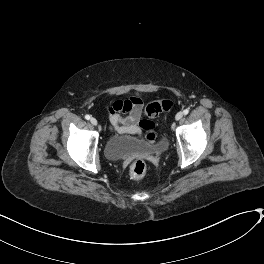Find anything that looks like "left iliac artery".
I'll return each mask as SVG.
<instances>
[{"instance_id":"44dca946","label":"left iliac artery","mask_w":264,"mask_h":264,"mask_svg":"<svg viewBox=\"0 0 264 264\" xmlns=\"http://www.w3.org/2000/svg\"><path fill=\"white\" fill-rule=\"evenodd\" d=\"M183 113H184V115H187V114L189 113V110H188V109H185V110L183 111Z\"/></svg>"}]
</instances>
